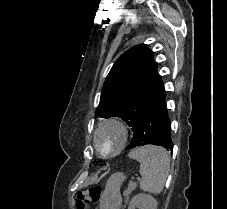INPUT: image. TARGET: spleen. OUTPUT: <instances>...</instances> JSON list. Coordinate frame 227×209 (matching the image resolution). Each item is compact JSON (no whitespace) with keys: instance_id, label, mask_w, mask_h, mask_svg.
<instances>
[{"instance_id":"3e777b00","label":"spleen","mask_w":227,"mask_h":209,"mask_svg":"<svg viewBox=\"0 0 227 209\" xmlns=\"http://www.w3.org/2000/svg\"><path fill=\"white\" fill-rule=\"evenodd\" d=\"M130 159L140 163L139 173L142 175L140 189L146 193L159 195L168 177L170 159L161 147H138L129 153Z\"/></svg>"}]
</instances>
